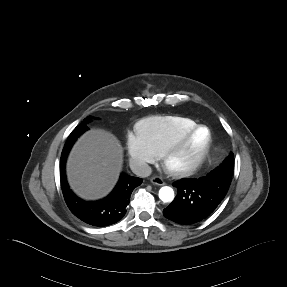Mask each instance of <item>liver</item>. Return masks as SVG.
Returning <instances> with one entry per match:
<instances>
[{
	"mask_svg": "<svg viewBox=\"0 0 287 287\" xmlns=\"http://www.w3.org/2000/svg\"><path fill=\"white\" fill-rule=\"evenodd\" d=\"M123 149L111 133L92 129L73 146L67 161V177L73 191L84 199L108 194L117 182Z\"/></svg>",
	"mask_w": 287,
	"mask_h": 287,
	"instance_id": "1",
	"label": "liver"
}]
</instances>
